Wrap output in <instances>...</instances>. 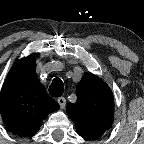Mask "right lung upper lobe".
Returning a JSON list of instances; mask_svg holds the SVG:
<instances>
[{
    "mask_svg": "<svg viewBox=\"0 0 144 144\" xmlns=\"http://www.w3.org/2000/svg\"><path fill=\"white\" fill-rule=\"evenodd\" d=\"M59 107L38 81L35 57L18 60L0 95V113L8 130L20 137L32 135L38 132L47 115Z\"/></svg>",
    "mask_w": 144,
    "mask_h": 144,
    "instance_id": "1",
    "label": "right lung upper lobe"
}]
</instances>
